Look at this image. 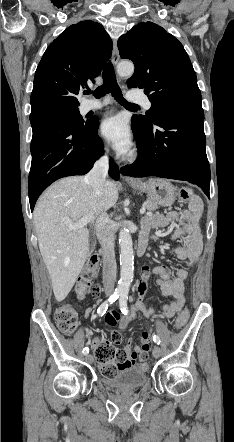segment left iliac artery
I'll return each mask as SVG.
<instances>
[{
  "label": "left iliac artery",
  "mask_w": 234,
  "mask_h": 442,
  "mask_svg": "<svg viewBox=\"0 0 234 442\" xmlns=\"http://www.w3.org/2000/svg\"><path fill=\"white\" fill-rule=\"evenodd\" d=\"M127 293L120 294L119 304H120V310L124 315H127L129 313L128 306H127ZM153 340L156 344H160V338L158 335H154Z\"/></svg>",
  "instance_id": "44dca946"
}]
</instances>
